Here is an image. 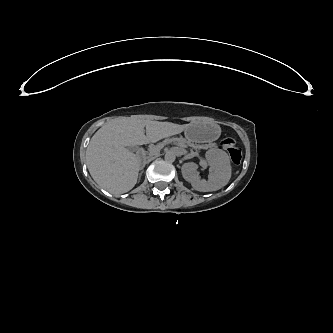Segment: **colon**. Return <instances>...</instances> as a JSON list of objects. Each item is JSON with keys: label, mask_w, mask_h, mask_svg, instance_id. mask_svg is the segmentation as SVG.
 <instances>
[{"label": "colon", "mask_w": 333, "mask_h": 333, "mask_svg": "<svg viewBox=\"0 0 333 333\" xmlns=\"http://www.w3.org/2000/svg\"><path fill=\"white\" fill-rule=\"evenodd\" d=\"M222 145L229 153L231 161L235 165H239L242 161V153L238 147L237 141L234 138L228 137L222 140Z\"/></svg>", "instance_id": "obj_1"}]
</instances>
